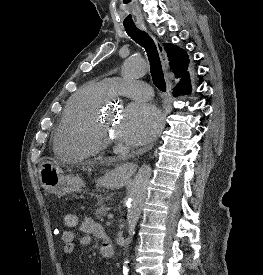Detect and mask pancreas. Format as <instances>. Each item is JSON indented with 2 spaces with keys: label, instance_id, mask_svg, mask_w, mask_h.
Returning <instances> with one entry per match:
<instances>
[{
  "label": "pancreas",
  "instance_id": "cf45deb5",
  "mask_svg": "<svg viewBox=\"0 0 263 275\" xmlns=\"http://www.w3.org/2000/svg\"><path fill=\"white\" fill-rule=\"evenodd\" d=\"M99 208L95 211L96 218L99 220H103V217L106 215V205L104 202L107 200V197H103L101 195L97 196Z\"/></svg>",
  "mask_w": 263,
  "mask_h": 275
}]
</instances>
